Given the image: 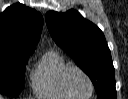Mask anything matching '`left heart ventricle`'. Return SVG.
I'll return each mask as SVG.
<instances>
[{
	"label": "left heart ventricle",
	"mask_w": 128,
	"mask_h": 99,
	"mask_svg": "<svg viewBox=\"0 0 128 99\" xmlns=\"http://www.w3.org/2000/svg\"><path fill=\"white\" fill-rule=\"evenodd\" d=\"M68 84L71 91L79 97H86L90 93L88 81L78 71H73L70 73L68 77Z\"/></svg>",
	"instance_id": "obj_1"
}]
</instances>
